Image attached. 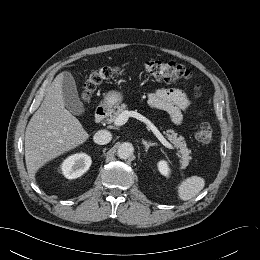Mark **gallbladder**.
Here are the masks:
<instances>
[{
  "instance_id": "gallbladder-1",
  "label": "gallbladder",
  "mask_w": 260,
  "mask_h": 260,
  "mask_svg": "<svg viewBox=\"0 0 260 260\" xmlns=\"http://www.w3.org/2000/svg\"><path fill=\"white\" fill-rule=\"evenodd\" d=\"M62 93L66 108L76 116L83 115L85 107L79 98L75 80L69 72L63 73Z\"/></svg>"
}]
</instances>
